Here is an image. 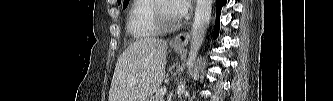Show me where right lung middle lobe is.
I'll use <instances>...</instances> for the list:
<instances>
[{
    "instance_id": "1",
    "label": "right lung middle lobe",
    "mask_w": 333,
    "mask_h": 101,
    "mask_svg": "<svg viewBox=\"0 0 333 101\" xmlns=\"http://www.w3.org/2000/svg\"><path fill=\"white\" fill-rule=\"evenodd\" d=\"M128 2V1H127ZM127 2L124 3V8L127 6Z\"/></svg>"
}]
</instances>
